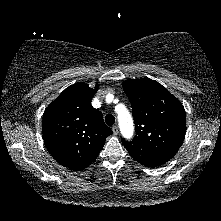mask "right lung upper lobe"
I'll return each instance as SVG.
<instances>
[{
	"label": "right lung upper lobe",
	"instance_id": "obj_1",
	"mask_svg": "<svg viewBox=\"0 0 221 221\" xmlns=\"http://www.w3.org/2000/svg\"><path fill=\"white\" fill-rule=\"evenodd\" d=\"M98 89L77 83L65 89L45 110L43 138L52 157L73 170L89 166L104 146L112 130L102 114L91 105Z\"/></svg>",
	"mask_w": 221,
	"mask_h": 221
}]
</instances>
